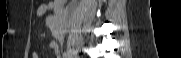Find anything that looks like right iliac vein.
Masks as SVG:
<instances>
[{"instance_id":"obj_1","label":"right iliac vein","mask_w":181,"mask_h":58,"mask_svg":"<svg viewBox=\"0 0 181 58\" xmlns=\"http://www.w3.org/2000/svg\"><path fill=\"white\" fill-rule=\"evenodd\" d=\"M67 55H68V58H78L76 53L69 47L67 49Z\"/></svg>"}]
</instances>
